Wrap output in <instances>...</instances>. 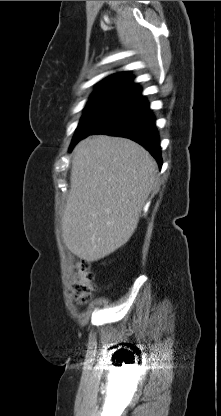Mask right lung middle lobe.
Instances as JSON below:
<instances>
[{
	"mask_svg": "<svg viewBox=\"0 0 221 416\" xmlns=\"http://www.w3.org/2000/svg\"><path fill=\"white\" fill-rule=\"evenodd\" d=\"M126 98L115 95H94L88 101L73 140L96 129ZM72 140V141H73Z\"/></svg>",
	"mask_w": 221,
	"mask_h": 416,
	"instance_id": "1",
	"label": "right lung middle lobe"
}]
</instances>
